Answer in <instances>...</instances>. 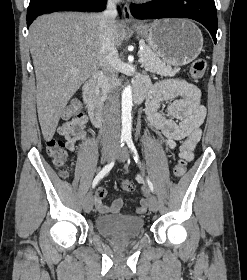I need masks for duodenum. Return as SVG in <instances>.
<instances>
[{"instance_id":"obj_1","label":"duodenum","mask_w":247,"mask_h":280,"mask_svg":"<svg viewBox=\"0 0 247 280\" xmlns=\"http://www.w3.org/2000/svg\"><path fill=\"white\" fill-rule=\"evenodd\" d=\"M100 74H93L83 86V99L88 108L89 116L92 122L99 126L103 122L104 108L99 98L98 84ZM145 91L142 88H137L135 91V101L141 103L144 99Z\"/></svg>"}]
</instances>
